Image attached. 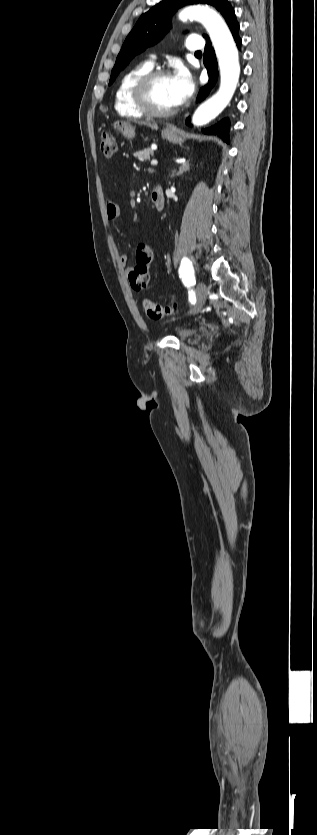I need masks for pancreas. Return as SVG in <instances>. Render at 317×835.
I'll return each instance as SVG.
<instances>
[{
  "instance_id": "obj_1",
  "label": "pancreas",
  "mask_w": 317,
  "mask_h": 835,
  "mask_svg": "<svg viewBox=\"0 0 317 835\" xmlns=\"http://www.w3.org/2000/svg\"><path fill=\"white\" fill-rule=\"evenodd\" d=\"M134 157L138 158V160L144 162L149 160L151 156H154V151L151 148H145L143 150L137 151L134 154Z\"/></svg>"
}]
</instances>
